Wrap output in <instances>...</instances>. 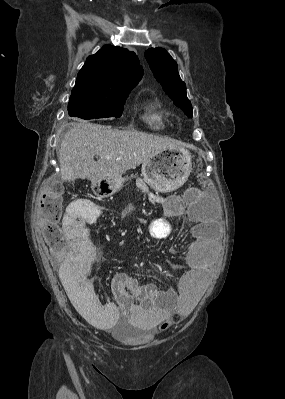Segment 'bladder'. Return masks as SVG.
I'll return each instance as SVG.
<instances>
[{"label":"bladder","mask_w":285,"mask_h":399,"mask_svg":"<svg viewBox=\"0 0 285 399\" xmlns=\"http://www.w3.org/2000/svg\"><path fill=\"white\" fill-rule=\"evenodd\" d=\"M111 333L117 335L116 330L115 329H111L110 330ZM129 335H131L132 337L129 339H125V341L129 344H136V345H143L144 344V337H145V333L142 332H133V333H128Z\"/></svg>","instance_id":"obj_1"}]
</instances>
